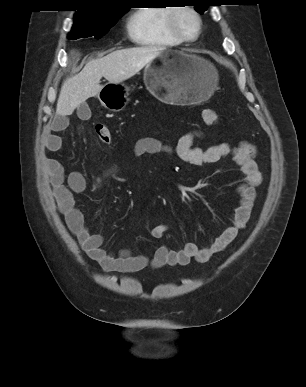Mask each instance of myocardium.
I'll return each instance as SVG.
<instances>
[{
	"label": "myocardium",
	"mask_w": 306,
	"mask_h": 387,
	"mask_svg": "<svg viewBox=\"0 0 306 387\" xmlns=\"http://www.w3.org/2000/svg\"><path fill=\"white\" fill-rule=\"evenodd\" d=\"M182 11H188L190 12L197 21V30L194 36L189 37L184 34V32L181 30V28L178 25V15ZM168 28L172 35L179 39L182 42L190 43L196 41L201 33L203 28V21L201 14L198 12V10L190 5H183V6H176L171 9L170 14L168 16Z\"/></svg>",
	"instance_id": "obj_1"
}]
</instances>
